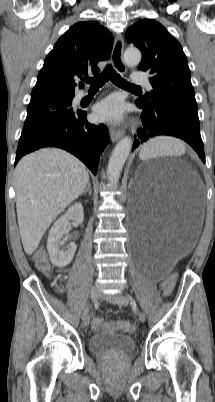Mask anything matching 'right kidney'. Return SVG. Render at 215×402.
Listing matches in <instances>:
<instances>
[{"mask_svg":"<svg viewBox=\"0 0 215 402\" xmlns=\"http://www.w3.org/2000/svg\"><path fill=\"white\" fill-rule=\"evenodd\" d=\"M83 219V206L81 203H75L52 226L48 236L47 250L50 260L55 266L63 268L72 261L77 246L71 242L65 248L60 249L64 245L62 238L66 233L69 220L82 223Z\"/></svg>","mask_w":215,"mask_h":402,"instance_id":"ca27d5eb","label":"right kidney"}]
</instances>
